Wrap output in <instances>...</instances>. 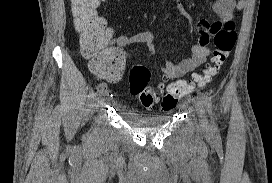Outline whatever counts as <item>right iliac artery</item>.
Segmentation results:
<instances>
[{"instance_id":"obj_1","label":"right iliac artery","mask_w":272,"mask_h":183,"mask_svg":"<svg viewBox=\"0 0 272 183\" xmlns=\"http://www.w3.org/2000/svg\"><path fill=\"white\" fill-rule=\"evenodd\" d=\"M105 88H106V83H105V82H102V83H100V84L97 86V91H98V92H102V91L105 90Z\"/></svg>"}]
</instances>
